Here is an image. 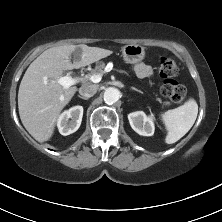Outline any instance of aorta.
I'll list each match as a JSON object with an SVG mask.
<instances>
[{
	"label": "aorta",
	"instance_id": "aorta-1",
	"mask_svg": "<svg viewBox=\"0 0 222 222\" xmlns=\"http://www.w3.org/2000/svg\"><path fill=\"white\" fill-rule=\"evenodd\" d=\"M104 101L107 104L116 103L120 97V91L117 88L109 87L104 92Z\"/></svg>",
	"mask_w": 222,
	"mask_h": 222
}]
</instances>
